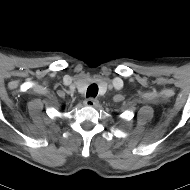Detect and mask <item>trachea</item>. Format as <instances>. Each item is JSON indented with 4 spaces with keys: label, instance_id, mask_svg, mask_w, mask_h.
<instances>
[{
    "label": "trachea",
    "instance_id": "trachea-1",
    "mask_svg": "<svg viewBox=\"0 0 190 190\" xmlns=\"http://www.w3.org/2000/svg\"><path fill=\"white\" fill-rule=\"evenodd\" d=\"M98 94V86L96 84H91L87 88L86 97H96Z\"/></svg>",
    "mask_w": 190,
    "mask_h": 190
}]
</instances>
